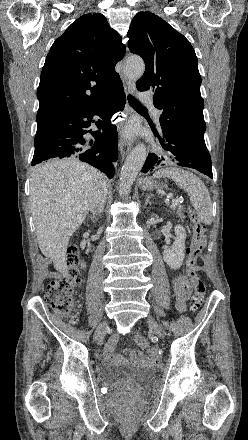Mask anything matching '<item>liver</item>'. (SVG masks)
I'll list each match as a JSON object with an SVG mask.
<instances>
[{"label":"liver","instance_id":"obj_1","mask_svg":"<svg viewBox=\"0 0 248 440\" xmlns=\"http://www.w3.org/2000/svg\"><path fill=\"white\" fill-rule=\"evenodd\" d=\"M104 174L78 159H53L38 165L30 179V207L39 248L54 268L67 273L69 239L88 213Z\"/></svg>","mask_w":248,"mask_h":440}]
</instances>
